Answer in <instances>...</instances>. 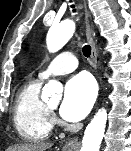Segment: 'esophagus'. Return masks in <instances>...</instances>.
<instances>
[{"mask_svg":"<svg viewBox=\"0 0 131 151\" xmlns=\"http://www.w3.org/2000/svg\"><path fill=\"white\" fill-rule=\"evenodd\" d=\"M84 6V11H85V23H86V34L88 41L91 45V63L94 68V71L96 72L97 70V52H96V46L95 42L92 36V30L90 27V22H89V12L87 10L86 2L84 1L83 3ZM79 144L78 138H73L66 142L64 148L67 150H72L74 149L77 145Z\"/></svg>","mask_w":131,"mask_h":151,"instance_id":"esophagus-1","label":"esophagus"}]
</instances>
